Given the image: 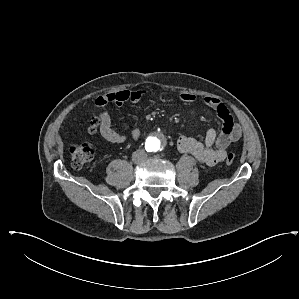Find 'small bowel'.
I'll return each instance as SVG.
<instances>
[{
  "label": "small bowel",
  "mask_w": 299,
  "mask_h": 299,
  "mask_svg": "<svg viewBox=\"0 0 299 299\" xmlns=\"http://www.w3.org/2000/svg\"><path fill=\"white\" fill-rule=\"evenodd\" d=\"M145 94L146 92L141 90H121L98 97L95 100V105L99 109H104L108 104L120 107L126 102L136 103L140 101ZM180 100L185 103H192L195 101V96L182 93ZM203 102L221 120V132L217 134L215 129H209L204 141L181 135L176 140V147L180 152L192 155L199 162L213 166L224 161L228 146L240 138L241 129L222 101L213 97H205ZM99 128L101 136L111 143L123 144L127 140L124 134L117 131L112 116L106 111L100 114ZM131 137L134 141H138L141 137L140 128H132Z\"/></svg>",
  "instance_id": "small-bowel-1"
}]
</instances>
